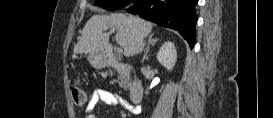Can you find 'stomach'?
<instances>
[{
    "instance_id": "stomach-1",
    "label": "stomach",
    "mask_w": 273,
    "mask_h": 118,
    "mask_svg": "<svg viewBox=\"0 0 273 118\" xmlns=\"http://www.w3.org/2000/svg\"><path fill=\"white\" fill-rule=\"evenodd\" d=\"M88 61L96 69H102L107 65V58L103 52L90 53Z\"/></svg>"
}]
</instances>
